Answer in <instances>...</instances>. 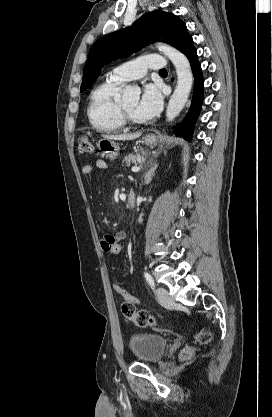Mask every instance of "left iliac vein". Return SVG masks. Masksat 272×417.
<instances>
[{"mask_svg": "<svg viewBox=\"0 0 272 417\" xmlns=\"http://www.w3.org/2000/svg\"><path fill=\"white\" fill-rule=\"evenodd\" d=\"M156 295L159 302L163 305H169L171 303V297L169 296V292L165 288H157Z\"/></svg>", "mask_w": 272, "mask_h": 417, "instance_id": "left-iliac-vein-1", "label": "left iliac vein"}]
</instances>
